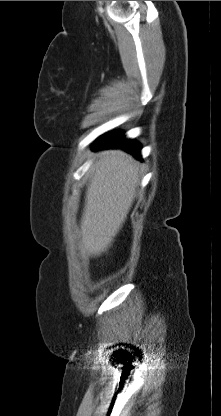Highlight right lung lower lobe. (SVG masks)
<instances>
[{"label":"right lung lower lobe","mask_w":221,"mask_h":416,"mask_svg":"<svg viewBox=\"0 0 221 416\" xmlns=\"http://www.w3.org/2000/svg\"><path fill=\"white\" fill-rule=\"evenodd\" d=\"M106 148H122L132 153L136 158L140 157V144L134 140L125 139L123 133L120 131L110 132L107 135L101 136L92 146V149H106Z\"/></svg>","instance_id":"right-lung-lower-lobe-1"}]
</instances>
